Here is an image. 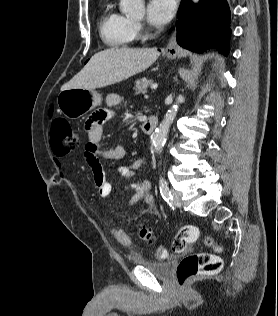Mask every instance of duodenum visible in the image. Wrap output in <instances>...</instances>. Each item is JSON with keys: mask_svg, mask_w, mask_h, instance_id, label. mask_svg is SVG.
<instances>
[{"mask_svg": "<svg viewBox=\"0 0 278 316\" xmlns=\"http://www.w3.org/2000/svg\"><path fill=\"white\" fill-rule=\"evenodd\" d=\"M158 125V119L155 116H149L142 124V131L145 134H151Z\"/></svg>", "mask_w": 278, "mask_h": 316, "instance_id": "obj_1", "label": "duodenum"}]
</instances>
